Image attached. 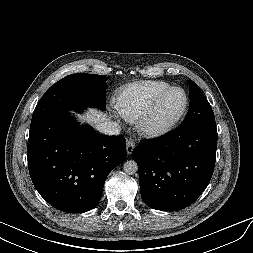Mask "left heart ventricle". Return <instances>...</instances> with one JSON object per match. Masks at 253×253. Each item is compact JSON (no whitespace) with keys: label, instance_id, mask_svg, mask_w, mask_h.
I'll use <instances>...</instances> for the list:
<instances>
[{"label":"left heart ventricle","instance_id":"left-heart-ventricle-1","mask_svg":"<svg viewBox=\"0 0 253 253\" xmlns=\"http://www.w3.org/2000/svg\"><path fill=\"white\" fill-rule=\"evenodd\" d=\"M184 105L183 94L175 91L167 95L159 104L152 118L155 125H163L173 120Z\"/></svg>","mask_w":253,"mask_h":253}]
</instances>
